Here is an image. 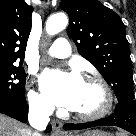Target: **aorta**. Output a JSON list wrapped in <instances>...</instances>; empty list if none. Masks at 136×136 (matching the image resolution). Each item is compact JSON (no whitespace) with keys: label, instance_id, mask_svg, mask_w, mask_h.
Masks as SVG:
<instances>
[{"label":"aorta","instance_id":"obj_1","mask_svg":"<svg viewBox=\"0 0 136 136\" xmlns=\"http://www.w3.org/2000/svg\"><path fill=\"white\" fill-rule=\"evenodd\" d=\"M68 18L64 13L51 15L46 22V32L48 35H55L66 28Z\"/></svg>","mask_w":136,"mask_h":136}]
</instances>
